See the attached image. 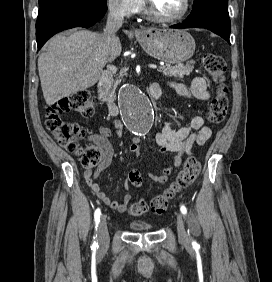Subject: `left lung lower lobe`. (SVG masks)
I'll use <instances>...</instances> for the list:
<instances>
[{
  "label": "left lung lower lobe",
  "instance_id": "0a47b994",
  "mask_svg": "<svg viewBox=\"0 0 272 282\" xmlns=\"http://www.w3.org/2000/svg\"><path fill=\"white\" fill-rule=\"evenodd\" d=\"M172 28H205L229 42L231 23L227 0H195L189 17Z\"/></svg>",
  "mask_w": 272,
  "mask_h": 282
}]
</instances>
